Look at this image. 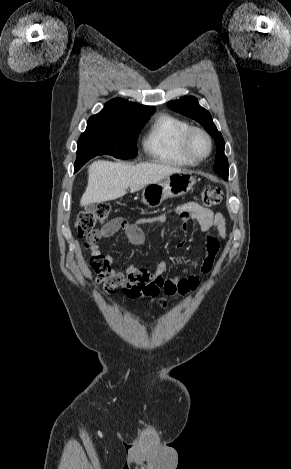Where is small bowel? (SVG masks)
I'll list each match as a JSON object with an SVG mask.
<instances>
[{"label": "small bowel", "mask_w": 291, "mask_h": 469, "mask_svg": "<svg viewBox=\"0 0 291 469\" xmlns=\"http://www.w3.org/2000/svg\"><path fill=\"white\" fill-rule=\"evenodd\" d=\"M175 213L184 223V230H187L193 221H196L203 231H212L205 243V256L200 263V273L207 275L211 272L215 257L219 250V240L227 236L226 219L221 213H214L210 209L203 207L196 202H187L179 205ZM166 214L154 217L140 218L134 223L128 222L124 218H115L106 224L105 236H110L118 231H123L128 241L134 245H142L145 241V234L142 226L149 223L165 222ZM186 246V241L181 239L176 247L182 249ZM91 256L99 258L107 264V268L102 272H97L96 281L104 282V290L107 293L121 288L126 299H137L141 297H157L160 292L167 296L175 294L186 295L197 289L199 277L194 274H187L184 270L180 275L172 278H164L166 264L159 263L153 271L137 268L134 265L128 266L124 271H117L112 268L113 258L102 253L100 246L96 243L90 245Z\"/></svg>", "instance_id": "c3829d8e"}]
</instances>
